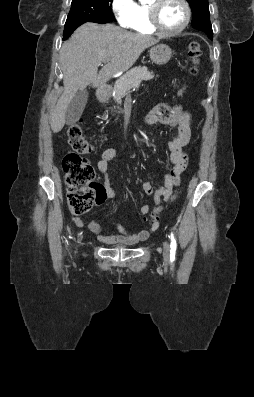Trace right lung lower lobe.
<instances>
[{
	"mask_svg": "<svg viewBox=\"0 0 254 397\" xmlns=\"http://www.w3.org/2000/svg\"><path fill=\"white\" fill-rule=\"evenodd\" d=\"M87 21H77L69 24H65L64 33H63V40H66L73 31L79 27L80 25L86 23Z\"/></svg>",
	"mask_w": 254,
	"mask_h": 397,
	"instance_id": "right-lung-lower-lobe-1",
	"label": "right lung lower lobe"
}]
</instances>
